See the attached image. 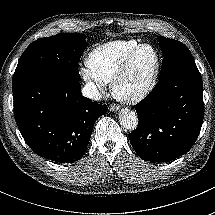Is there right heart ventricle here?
<instances>
[{"mask_svg":"<svg viewBox=\"0 0 215 215\" xmlns=\"http://www.w3.org/2000/svg\"><path fill=\"white\" fill-rule=\"evenodd\" d=\"M138 44L136 40H116L94 48L85 58L87 74L99 82H110L127 54Z\"/></svg>","mask_w":215,"mask_h":215,"instance_id":"1","label":"right heart ventricle"}]
</instances>
